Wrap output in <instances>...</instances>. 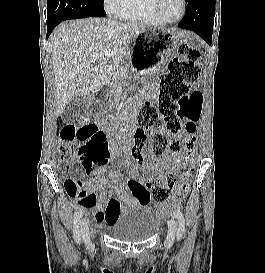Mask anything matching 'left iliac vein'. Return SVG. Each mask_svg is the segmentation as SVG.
Segmentation results:
<instances>
[{
  "label": "left iliac vein",
  "instance_id": "obj_1",
  "mask_svg": "<svg viewBox=\"0 0 265 273\" xmlns=\"http://www.w3.org/2000/svg\"><path fill=\"white\" fill-rule=\"evenodd\" d=\"M176 231H177L176 221L174 219H171L168 224V234L165 241V245L167 247H171L173 245Z\"/></svg>",
  "mask_w": 265,
  "mask_h": 273
}]
</instances>
